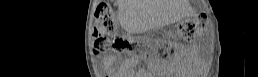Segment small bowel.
Returning <instances> with one entry per match:
<instances>
[{
    "label": "small bowel",
    "mask_w": 258,
    "mask_h": 77,
    "mask_svg": "<svg viewBox=\"0 0 258 77\" xmlns=\"http://www.w3.org/2000/svg\"><path fill=\"white\" fill-rule=\"evenodd\" d=\"M136 62V59L133 58L125 59L121 64V68L123 70H132ZM122 73H130V71H123Z\"/></svg>",
    "instance_id": "1"
}]
</instances>
